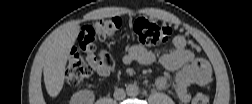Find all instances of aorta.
Segmentation results:
<instances>
[{
	"label": "aorta",
	"mask_w": 252,
	"mask_h": 104,
	"mask_svg": "<svg viewBox=\"0 0 252 104\" xmlns=\"http://www.w3.org/2000/svg\"><path fill=\"white\" fill-rule=\"evenodd\" d=\"M126 93L130 97H135L139 94V87L136 84H129L126 86Z\"/></svg>",
	"instance_id": "762f6f07"
}]
</instances>
